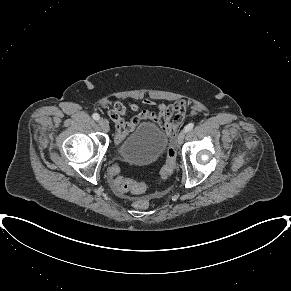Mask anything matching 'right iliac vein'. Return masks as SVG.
<instances>
[{"mask_svg":"<svg viewBox=\"0 0 291 291\" xmlns=\"http://www.w3.org/2000/svg\"><path fill=\"white\" fill-rule=\"evenodd\" d=\"M98 123H99V126L102 128L103 131H105V132L109 131V123H108L107 120L102 118V119H100L98 121Z\"/></svg>","mask_w":291,"mask_h":291,"instance_id":"1","label":"right iliac vein"}]
</instances>
